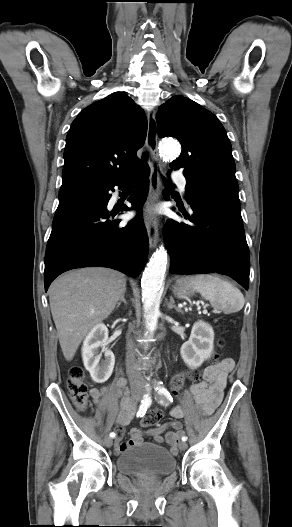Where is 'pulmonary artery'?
<instances>
[{"mask_svg": "<svg viewBox=\"0 0 292 527\" xmlns=\"http://www.w3.org/2000/svg\"><path fill=\"white\" fill-rule=\"evenodd\" d=\"M172 178L179 184L180 190L184 193L187 184V180L184 175L180 172H174L172 174Z\"/></svg>", "mask_w": 292, "mask_h": 527, "instance_id": "1", "label": "pulmonary artery"}]
</instances>
